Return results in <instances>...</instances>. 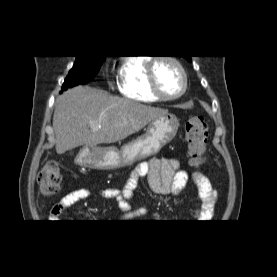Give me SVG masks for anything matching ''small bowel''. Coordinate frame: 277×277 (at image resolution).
Listing matches in <instances>:
<instances>
[{"instance_id":"1","label":"small bowel","mask_w":277,"mask_h":277,"mask_svg":"<svg viewBox=\"0 0 277 277\" xmlns=\"http://www.w3.org/2000/svg\"><path fill=\"white\" fill-rule=\"evenodd\" d=\"M146 177L151 189L159 195L178 196L186 186L189 175L180 168V162L174 158H153L146 163L139 164L128 178L124 188L102 189L98 194L84 188L75 189L64 195L54 204L48 215V222H58L71 206L77 202L89 199L114 200L117 206L124 210L123 218H138L146 214L143 207H132L133 191L139 178ZM201 199L195 218L207 220L213 216L217 201V191L210 181L201 173L193 176Z\"/></svg>"}]
</instances>
